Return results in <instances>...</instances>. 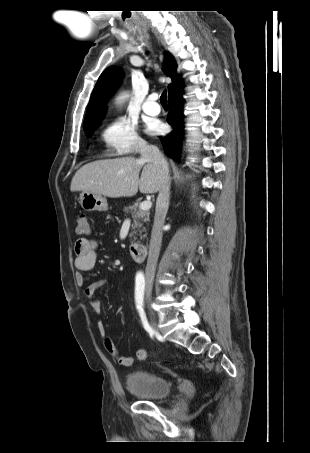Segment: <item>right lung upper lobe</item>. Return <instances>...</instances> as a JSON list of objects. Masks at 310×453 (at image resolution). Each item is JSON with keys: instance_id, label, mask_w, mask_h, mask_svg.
<instances>
[{"instance_id": "1", "label": "right lung upper lobe", "mask_w": 310, "mask_h": 453, "mask_svg": "<svg viewBox=\"0 0 310 453\" xmlns=\"http://www.w3.org/2000/svg\"><path fill=\"white\" fill-rule=\"evenodd\" d=\"M176 69L177 65L174 58L169 53H166L163 71L172 79V84L168 86V91L180 80ZM121 77V68L117 66H110L100 75L90 98L84 127L98 125L104 116L106 101L119 85Z\"/></svg>"}]
</instances>
